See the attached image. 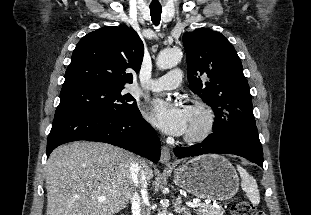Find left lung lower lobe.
Returning <instances> with one entry per match:
<instances>
[{"label":"left lung lower lobe","instance_id":"1","mask_svg":"<svg viewBox=\"0 0 311 215\" xmlns=\"http://www.w3.org/2000/svg\"><path fill=\"white\" fill-rule=\"evenodd\" d=\"M178 158L207 153L235 154L259 166L263 165V151L255 124L239 123L221 132H213L202 143L174 149Z\"/></svg>","mask_w":311,"mask_h":215}]
</instances>
